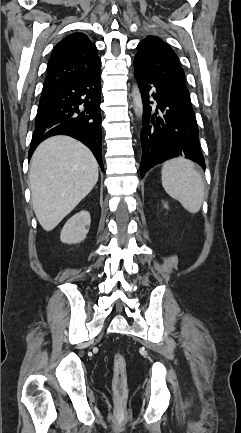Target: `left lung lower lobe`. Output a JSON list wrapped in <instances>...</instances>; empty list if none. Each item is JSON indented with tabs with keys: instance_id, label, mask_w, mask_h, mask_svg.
Instances as JSON below:
<instances>
[{
	"instance_id": "obj_1",
	"label": "left lung lower lobe",
	"mask_w": 241,
	"mask_h": 433,
	"mask_svg": "<svg viewBox=\"0 0 241 433\" xmlns=\"http://www.w3.org/2000/svg\"><path fill=\"white\" fill-rule=\"evenodd\" d=\"M134 75L144 105L141 176L156 164L179 156L205 169L195 116L162 85L136 71Z\"/></svg>"
}]
</instances>
